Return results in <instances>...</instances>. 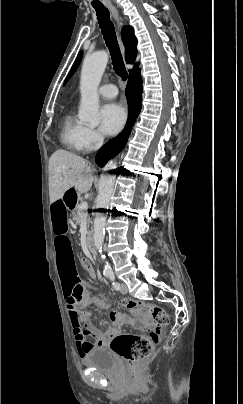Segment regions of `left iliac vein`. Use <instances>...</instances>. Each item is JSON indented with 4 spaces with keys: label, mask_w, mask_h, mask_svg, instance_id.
Returning <instances> with one entry per match:
<instances>
[{
    "label": "left iliac vein",
    "mask_w": 243,
    "mask_h": 404,
    "mask_svg": "<svg viewBox=\"0 0 243 404\" xmlns=\"http://www.w3.org/2000/svg\"><path fill=\"white\" fill-rule=\"evenodd\" d=\"M120 292H121L122 294H127V292H128V287H127V285H126L125 283H121V284H120Z\"/></svg>",
    "instance_id": "obj_1"
}]
</instances>
